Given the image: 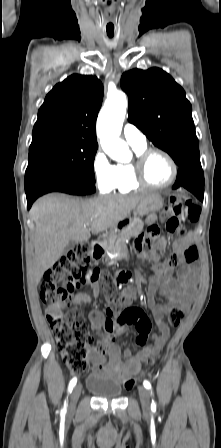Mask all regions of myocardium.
Segmentation results:
<instances>
[{
  "mask_svg": "<svg viewBox=\"0 0 221 448\" xmlns=\"http://www.w3.org/2000/svg\"><path fill=\"white\" fill-rule=\"evenodd\" d=\"M154 154H160L164 156L170 163L173 174L171 179L165 184H153L149 181L146 175V168L149 158ZM132 167L134 171L135 181L144 187H149L153 189H164L171 186L177 179L179 174V167L175 159L165 150L160 148H148L136 155L134 161L132 162Z\"/></svg>",
  "mask_w": 221,
  "mask_h": 448,
  "instance_id": "obj_1",
  "label": "myocardium"
}]
</instances>
